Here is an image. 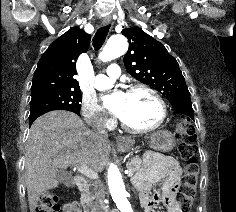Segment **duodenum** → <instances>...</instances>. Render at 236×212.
Returning a JSON list of instances; mask_svg holds the SVG:
<instances>
[{
    "mask_svg": "<svg viewBox=\"0 0 236 212\" xmlns=\"http://www.w3.org/2000/svg\"><path fill=\"white\" fill-rule=\"evenodd\" d=\"M75 180L81 194V204L84 212H97V208L90 200L89 185L85 178L79 175Z\"/></svg>",
    "mask_w": 236,
    "mask_h": 212,
    "instance_id": "1",
    "label": "duodenum"
}]
</instances>
